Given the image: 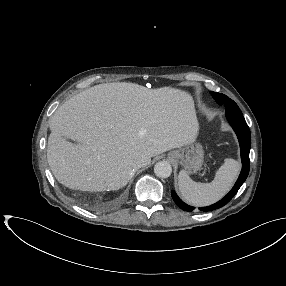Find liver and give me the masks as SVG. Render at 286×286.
<instances>
[{
    "mask_svg": "<svg viewBox=\"0 0 286 286\" xmlns=\"http://www.w3.org/2000/svg\"><path fill=\"white\" fill-rule=\"evenodd\" d=\"M49 127L53 175L70 189L90 192L124 187L136 164L146 166L151 157L193 143L199 130L188 92L126 82L99 84L71 97Z\"/></svg>",
    "mask_w": 286,
    "mask_h": 286,
    "instance_id": "6515ba94",
    "label": "liver"
}]
</instances>
